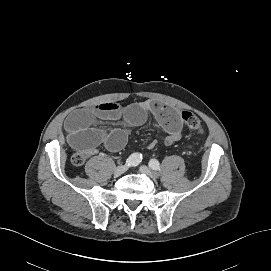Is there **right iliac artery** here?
Masks as SVG:
<instances>
[{
    "label": "right iliac artery",
    "instance_id": "82829eb1",
    "mask_svg": "<svg viewBox=\"0 0 271 271\" xmlns=\"http://www.w3.org/2000/svg\"><path fill=\"white\" fill-rule=\"evenodd\" d=\"M142 160V154L139 153H133L132 155H130L128 157V159L126 160V165L128 167H133V166H137Z\"/></svg>",
    "mask_w": 271,
    "mask_h": 271
}]
</instances>
